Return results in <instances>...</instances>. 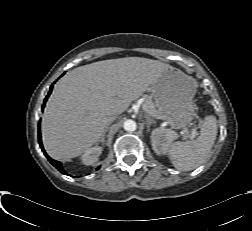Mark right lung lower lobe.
I'll list each match as a JSON object with an SVG mask.
<instances>
[{"label":"right lung lower lobe","mask_w":252,"mask_h":231,"mask_svg":"<svg viewBox=\"0 0 252 231\" xmlns=\"http://www.w3.org/2000/svg\"><path fill=\"white\" fill-rule=\"evenodd\" d=\"M51 92H52V87H50L49 93H48V95L46 96V98H45V100H44V103H43V106H42V110L44 109V106H45V104H46V101H47L48 97L50 96V93H51ZM39 144H40V147H41L42 151L44 152L45 156H46L47 159L50 161V163H51L56 169H58L61 173L66 174V172L64 171V169H63V167H62V163L59 162V161L53 160L52 158H50V157L46 154V152H45V150H44V148H43V146H42L41 136H39ZM97 169H99V167H98Z\"/></svg>","instance_id":"1"}]
</instances>
